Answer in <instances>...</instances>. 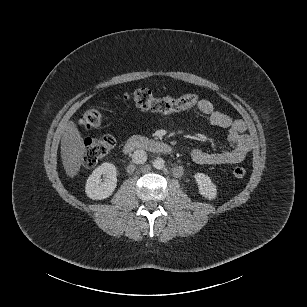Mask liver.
Listing matches in <instances>:
<instances>
[{
  "instance_id": "6515ba94",
  "label": "liver",
  "mask_w": 307,
  "mask_h": 307,
  "mask_svg": "<svg viewBox=\"0 0 307 307\" xmlns=\"http://www.w3.org/2000/svg\"><path fill=\"white\" fill-rule=\"evenodd\" d=\"M62 126L61 158L66 174L73 178L82 164L86 147L76 125L72 121Z\"/></svg>"
}]
</instances>
